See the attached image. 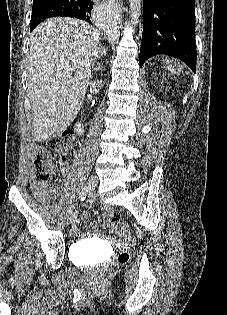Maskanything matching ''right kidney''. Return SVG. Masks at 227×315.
I'll return each mask as SVG.
<instances>
[{"mask_svg":"<svg viewBox=\"0 0 227 315\" xmlns=\"http://www.w3.org/2000/svg\"><path fill=\"white\" fill-rule=\"evenodd\" d=\"M88 98L91 100V99H92V96H91V95H88Z\"/></svg>","mask_w":227,"mask_h":315,"instance_id":"right-kidney-1","label":"right kidney"}]
</instances>
